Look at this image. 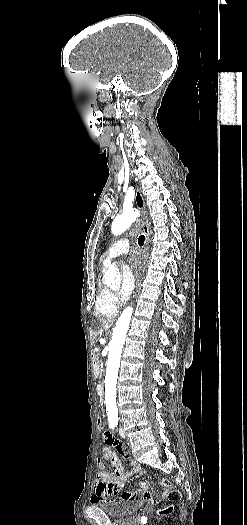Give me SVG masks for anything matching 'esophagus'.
<instances>
[{"mask_svg": "<svg viewBox=\"0 0 247 525\" xmlns=\"http://www.w3.org/2000/svg\"><path fill=\"white\" fill-rule=\"evenodd\" d=\"M135 202H136V205H137L138 209L141 210L142 213H143L144 209H145V202H144L143 196H142L139 188H137V190H136ZM143 231H144L145 236H146L144 250H145V255L147 256L148 252H149L150 232H149V227H148V225L146 223H143Z\"/></svg>", "mask_w": 247, "mask_h": 525, "instance_id": "1", "label": "esophagus"}]
</instances>
